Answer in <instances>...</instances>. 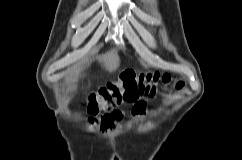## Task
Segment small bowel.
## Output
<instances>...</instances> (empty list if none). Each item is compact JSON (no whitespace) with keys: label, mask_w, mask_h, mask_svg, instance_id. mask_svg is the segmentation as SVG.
I'll list each match as a JSON object with an SVG mask.
<instances>
[{"label":"small bowel","mask_w":242,"mask_h":160,"mask_svg":"<svg viewBox=\"0 0 242 160\" xmlns=\"http://www.w3.org/2000/svg\"><path fill=\"white\" fill-rule=\"evenodd\" d=\"M137 107H142L141 112L138 113V114H142L144 109H145L144 102L136 103L134 108H137ZM118 112H119V115H118V117L116 119H107V120H103L102 121V127H103L104 130L111 131V130L115 129V122L118 121L121 118V116H122L121 112L120 111H118Z\"/></svg>","instance_id":"small-bowel-1"}]
</instances>
